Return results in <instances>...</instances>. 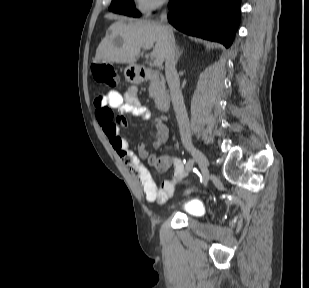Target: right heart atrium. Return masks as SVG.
I'll use <instances>...</instances> for the list:
<instances>
[{
	"instance_id": "obj_1",
	"label": "right heart atrium",
	"mask_w": 309,
	"mask_h": 288,
	"mask_svg": "<svg viewBox=\"0 0 309 288\" xmlns=\"http://www.w3.org/2000/svg\"><path fill=\"white\" fill-rule=\"evenodd\" d=\"M169 0H135L136 7L143 13H152L167 5Z\"/></svg>"
}]
</instances>
